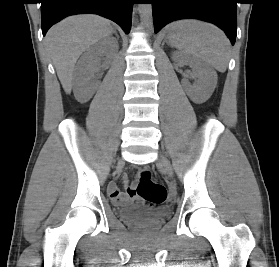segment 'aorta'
Returning <instances> with one entry per match:
<instances>
[{
	"label": "aorta",
	"mask_w": 279,
	"mask_h": 267,
	"mask_svg": "<svg viewBox=\"0 0 279 267\" xmlns=\"http://www.w3.org/2000/svg\"><path fill=\"white\" fill-rule=\"evenodd\" d=\"M141 24L150 29L152 27V5L151 3H139L138 6Z\"/></svg>",
	"instance_id": "1"
}]
</instances>
